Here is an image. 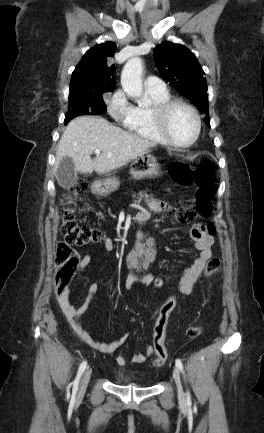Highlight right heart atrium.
Returning <instances> with one entry per match:
<instances>
[{
  "label": "right heart atrium",
  "mask_w": 264,
  "mask_h": 433,
  "mask_svg": "<svg viewBox=\"0 0 264 433\" xmlns=\"http://www.w3.org/2000/svg\"><path fill=\"white\" fill-rule=\"evenodd\" d=\"M108 114L117 122L126 124L134 114L135 106L123 90H117L106 100Z\"/></svg>",
  "instance_id": "d8ad5b80"
}]
</instances>
